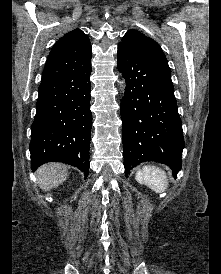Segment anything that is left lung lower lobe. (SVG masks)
I'll use <instances>...</instances> for the list:
<instances>
[{
    "instance_id": "obj_1",
    "label": "left lung lower lobe",
    "mask_w": 221,
    "mask_h": 274,
    "mask_svg": "<svg viewBox=\"0 0 221 274\" xmlns=\"http://www.w3.org/2000/svg\"><path fill=\"white\" fill-rule=\"evenodd\" d=\"M117 66L126 82L120 105L126 175L141 162L156 161L175 177L184 137L170 69L120 46Z\"/></svg>"
}]
</instances>
